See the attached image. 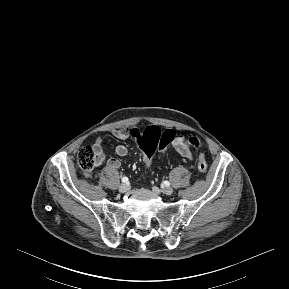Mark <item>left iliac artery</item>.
<instances>
[{
    "instance_id": "obj_1",
    "label": "left iliac artery",
    "mask_w": 289,
    "mask_h": 289,
    "mask_svg": "<svg viewBox=\"0 0 289 289\" xmlns=\"http://www.w3.org/2000/svg\"><path fill=\"white\" fill-rule=\"evenodd\" d=\"M164 185L165 186H170V182L169 181H164Z\"/></svg>"
}]
</instances>
